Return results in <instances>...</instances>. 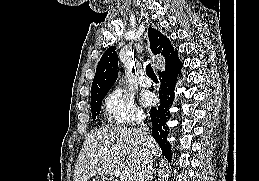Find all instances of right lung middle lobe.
Instances as JSON below:
<instances>
[{"label": "right lung middle lobe", "instance_id": "1", "mask_svg": "<svg viewBox=\"0 0 259 181\" xmlns=\"http://www.w3.org/2000/svg\"><path fill=\"white\" fill-rule=\"evenodd\" d=\"M107 93L100 94L91 98V111H92V118L95 119L97 115H99L101 110V104L103 98L106 96Z\"/></svg>", "mask_w": 259, "mask_h": 181}]
</instances>
